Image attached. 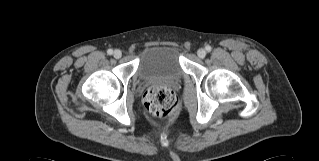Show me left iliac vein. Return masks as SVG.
<instances>
[{"label": "left iliac vein", "instance_id": "obj_1", "mask_svg": "<svg viewBox=\"0 0 319 161\" xmlns=\"http://www.w3.org/2000/svg\"><path fill=\"white\" fill-rule=\"evenodd\" d=\"M197 55L199 58H204L206 56V50L201 48L197 51Z\"/></svg>", "mask_w": 319, "mask_h": 161}]
</instances>
